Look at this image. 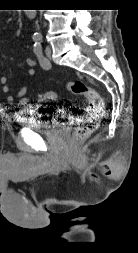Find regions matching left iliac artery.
I'll list each match as a JSON object with an SVG mask.
<instances>
[{"label":"left iliac artery","mask_w":138,"mask_h":253,"mask_svg":"<svg viewBox=\"0 0 138 253\" xmlns=\"http://www.w3.org/2000/svg\"><path fill=\"white\" fill-rule=\"evenodd\" d=\"M34 53L36 54L41 67L44 68V69H47L48 65H49V61L47 60V58H45L43 56L42 46H41L40 43H35L34 44Z\"/></svg>","instance_id":"44dca946"}]
</instances>
